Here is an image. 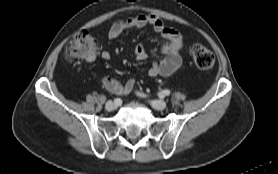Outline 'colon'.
I'll return each mask as SVG.
<instances>
[{"label": "colon", "mask_w": 278, "mask_h": 174, "mask_svg": "<svg viewBox=\"0 0 278 174\" xmlns=\"http://www.w3.org/2000/svg\"><path fill=\"white\" fill-rule=\"evenodd\" d=\"M98 50L97 40L87 31L77 33L67 44L64 50V58L67 61L87 59ZM191 56L200 70H210L215 62L213 53L201 44H195L191 48Z\"/></svg>", "instance_id": "5ec220e1"}]
</instances>
